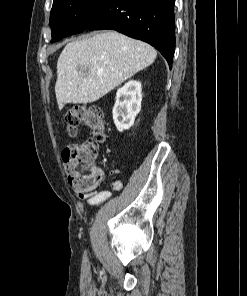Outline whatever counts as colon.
<instances>
[{"label":"colon","mask_w":247,"mask_h":296,"mask_svg":"<svg viewBox=\"0 0 247 296\" xmlns=\"http://www.w3.org/2000/svg\"><path fill=\"white\" fill-rule=\"evenodd\" d=\"M68 133L75 136L79 126H86L92 137L82 143L68 145L62 152L63 162L71 186L85 192L96 188L102 181L103 172L95 164L99 145L105 140V118L95 106L76 104L65 115Z\"/></svg>","instance_id":"5ec220e1"}]
</instances>
